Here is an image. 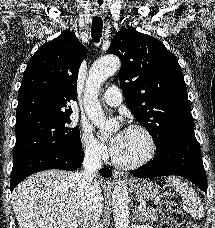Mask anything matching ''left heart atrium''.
Returning a JSON list of instances; mask_svg holds the SVG:
<instances>
[{
  "instance_id": "1",
  "label": "left heart atrium",
  "mask_w": 215,
  "mask_h": 228,
  "mask_svg": "<svg viewBox=\"0 0 215 228\" xmlns=\"http://www.w3.org/2000/svg\"><path fill=\"white\" fill-rule=\"evenodd\" d=\"M127 129H121L110 141V151L113 155L117 154L124 146L127 138Z\"/></svg>"
}]
</instances>
